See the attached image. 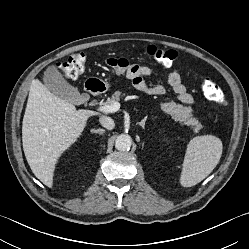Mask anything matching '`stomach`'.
<instances>
[{
    "mask_svg": "<svg viewBox=\"0 0 249 249\" xmlns=\"http://www.w3.org/2000/svg\"><path fill=\"white\" fill-rule=\"evenodd\" d=\"M101 84L104 86L105 89L110 88V83L108 81L100 80Z\"/></svg>",
    "mask_w": 249,
    "mask_h": 249,
    "instance_id": "stomach-1",
    "label": "stomach"
}]
</instances>
